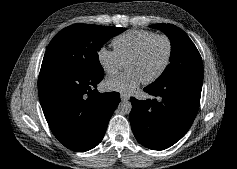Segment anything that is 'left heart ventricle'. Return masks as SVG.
<instances>
[{"label": "left heart ventricle", "mask_w": 237, "mask_h": 169, "mask_svg": "<svg viewBox=\"0 0 237 169\" xmlns=\"http://www.w3.org/2000/svg\"><path fill=\"white\" fill-rule=\"evenodd\" d=\"M166 54V41L162 38H157L148 45L139 58L130 61L126 68L135 71L143 81L153 76L160 69Z\"/></svg>", "instance_id": "left-heart-ventricle-1"}]
</instances>
